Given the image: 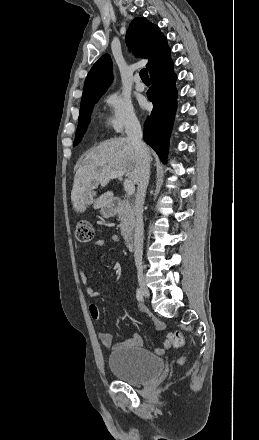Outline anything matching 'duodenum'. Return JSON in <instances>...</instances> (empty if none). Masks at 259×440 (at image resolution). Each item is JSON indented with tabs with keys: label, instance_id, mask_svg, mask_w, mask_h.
Segmentation results:
<instances>
[{
	"label": "duodenum",
	"instance_id": "obj_1",
	"mask_svg": "<svg viewBox=\"0 0 259 440\" xmlns=\"http://www.w3.org/2000/svg\"><path fill=\"white\" fill-rule=\"evenodd\" d=\"M118 204V200H112L109 204L111 208L115 207ZM125 244L128 248H131L133 246L134 237L131 232H127L124 235Z\"/></svg>",
	"mask_w": 259,
	"mask_h": 440
}]
</instances>
